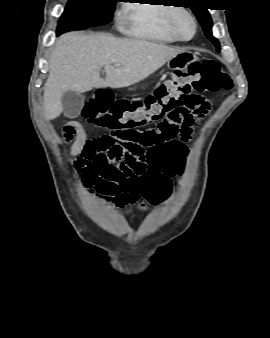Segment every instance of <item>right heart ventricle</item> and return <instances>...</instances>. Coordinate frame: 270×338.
<instances>
[{"mask_svg": "<svg viewBox=\"0 0 270 338\" xmlns=\"http://www.w3.org/2000/svg\"><path fill=\"white\" fill-rule=\"evenodd\" d=\"M127 9L130 35L154 42L176 41L168 24L170 16L179 9L177 5L155 0L149 4L133 3Z\"/></svg>", "mask_w": 270, "mask_h": 338, "instance_id": "1", "label": "right heart ventricle"}]
</instances>
